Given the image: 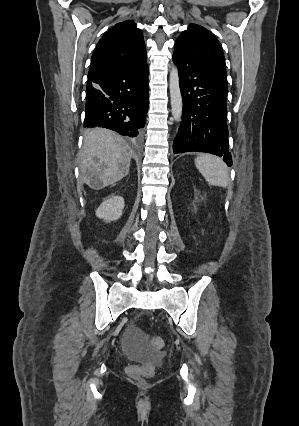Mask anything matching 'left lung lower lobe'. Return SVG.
I'll return each instance as SVG.
<instances>
[{"mask_svg": "<svg viewBox=\"0 0 299 426\" xmlns=\"http://www.w3.org/2000/svg\"><path fill=\"white\" fill-rule=\"evenodd\" d=\"M173 61L179 70L183 117L173 142V152H208L223 156L228 166L232 157L228 147V87L206 67L190 61L175 50Z\"/></svg>", "mask_w": 299, "mask_h": 426, "instance_id": "obj_1", "label": "left lung lower lobe"}]
</instances>
